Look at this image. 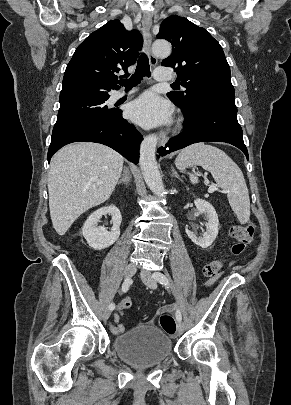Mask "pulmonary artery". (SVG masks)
<instances>
[{
	"instance_id": "e3ab8cb5",
	"label": "pulmonary artery",
	"mask_w": 291,
	"mask_h": 405,
	"mask_svg": "<svg viewBox=\"0 0 291 405\" xmlns=\"http://www.w3.org/2000/svg\"><path fill=\"white\" fill-rule=\"evenodd\" d=\"M154 78L157 81H171L174 79V75L167 68H157L154 73ZM134 92H135V89L128 91V92L118 91L113 94L112 98H113V100H118V99H120L126 95H130Z\"/></svg>"
}]
</instances>
